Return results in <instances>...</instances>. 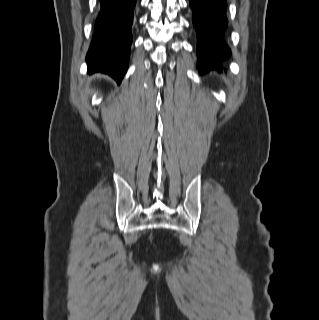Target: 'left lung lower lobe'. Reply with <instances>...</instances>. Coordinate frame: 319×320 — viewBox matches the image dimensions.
I'll list each match as a JSON object with an SVG mask.
<instances>
[{
	"instance_id": "obj_1",
	"label": "left lung lower lobe",
	"mask_w": 319,
	"mask_h": 320,
	"mask_svg": "<svg viewBox=\"0 0 319 320\" xmlns=\"http://www.w3.org/2000/svg\"><path fill=\"white\" fill-rule=\"evenodd\" d=\"M193 10V24L198 36L199 72L220 66L230 55L222 36L228 21L226 0H189Z\"/></svg>"
}]
</instances>
